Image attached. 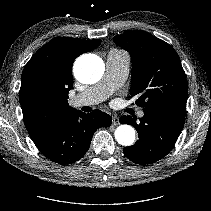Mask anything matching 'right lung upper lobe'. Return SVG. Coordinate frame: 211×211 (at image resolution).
<instances>
[{
	"label": "right lung upper lobe",
	"mask_w": 211,
	"mask_h": 211,
	"mask_svg": "<svg viewBox=\"0 0 211 211\" xmlns=\"http://www.w3.org/2000/svg\"><path fill=\"white\" fill-rule=\"evenodd\" d=\"M101 40L57 37L42 46L25 65L19 101L32 140L71 112L68 93L73 88L72 64Z\"/></svg>",
	"instance_id": "right-lung-upper-lobe-1"
}]
</instances>
